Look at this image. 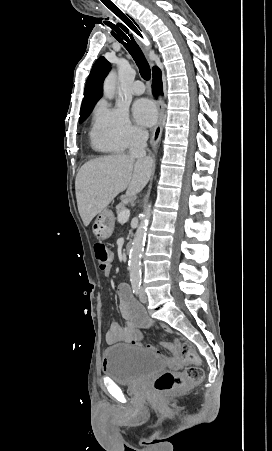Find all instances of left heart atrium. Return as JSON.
Wrapping results in <instances>:
<instances>
[{"mask_svg":"<svg viewBox=\"0 0 272 451\" xmlns=\"http://www.w3.org/2000/svg\"><path fill=\"white\" fill-rule=\"evenodd\" d=\"M134 114L138 122L144 125L153 123L156 111L153 104L148 100H141L134 107Z\"/></svg>","mask_w":272,"mask_h":451,"instance_id":"left-heart-atrium-1","label":"left heart atrium"}]
</instances>
